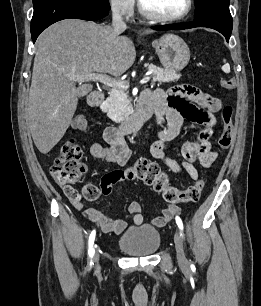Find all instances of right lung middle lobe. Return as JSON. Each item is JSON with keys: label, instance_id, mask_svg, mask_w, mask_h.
<instances>
[{"label": "right lung middle lobe", "instance_id": "right-lung-middle-lobe-1", "mask_svg": "<svg viewBox=\"0 0 261 306\" xmlns=\"http://www.w3.org/2000/svg\"><path fill=\"white\" fill-rule=\"evenodd\" d=\"M82 1H86V2H89L91 4L101 6V7H104L106 9H110V5H109L108 0H82Z\"/></svg>", "mask_w": 261, "mask_h": 306}]
</instances>
